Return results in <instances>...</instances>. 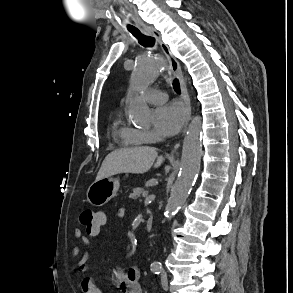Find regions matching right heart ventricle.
Wrapping results in <instances>:
<instances>
[{"mask_svg": "<svg viewBox=\"0 0 293 293\" xmlns=\"http://www.w3.org/2000/svg\"><path fill=\"white\" fill-rule=\"evenodd\" d=\"M115 135L122 140V142L127 146H138L142 142L134 132V129L124 127L120 124H116L114 127Z\"/></svg>", "mask_w": 293, "mask_h": 293, "instance_id": "1", "label": "right heart ventricle"}]
</instances>
